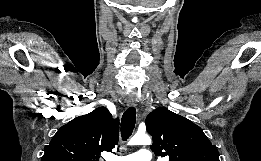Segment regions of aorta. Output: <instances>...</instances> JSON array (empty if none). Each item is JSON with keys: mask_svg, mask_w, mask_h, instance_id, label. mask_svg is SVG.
<instances>
[{"mask_svg": "<svg viewBox=\"0 0 261 161\" xmlns=\"http://www.w3.org/2000/svg\"><path fill=\"white\" fill-rule=\"evenodd\" d=\"M151 139L147 134H135L129 142V145H150Z\"/></svg>", "mask_w": 261, "mask_h": 161, "instance_id": "obj_1", "label": "aorta"}]
</instances>
